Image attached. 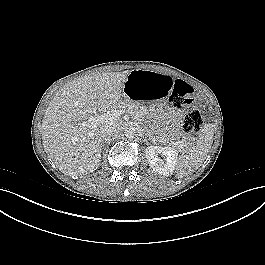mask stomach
I'll return each mask as SVG.
<instances>
[{
	"label": "stomach",
	"mask_w": 265,
	"mask_h": 265,
	"mask_svg": "<svg viewBox=\"0 0 265 265\" xmlns=\"http://www.w3.org/2000/svg\"><path fill=\"white\" fill-rule=\"evenodd\" d=\"M173 79L150 70L131 71L124 84L123 95L135 99L137 110L145 117L160 116L167 108V94Z\"/></svg>",
	"instance_id": "0dacf381"
}]
</instances>
